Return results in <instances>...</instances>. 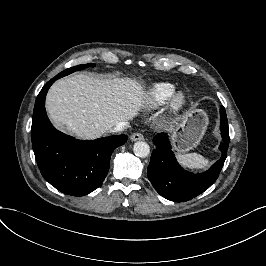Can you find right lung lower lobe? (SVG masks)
Returning a JSON list of instances; mask_svg holds the SVG:
<instances>
[{
    "label": "right lung lower lobe",
    "instance_id": "right-lung-lower-lobe-1",
    "mask_svg": "<svg viewBox=\"0 0 266 266\" xmlns=\"http://www.w3.org/2000/svg\"><path fill=\"white\" fill-rule=\"evenodd\" d=\"M47 82L38 94L33 111L31 137L35 158L44 179L60 192L84 196L105 179L115 148L125 144L126 135L81 141L53 127L45 110L48 89L59 79Z\"/></svg>",
    "mask_w": 266,
    "mask_h": 266
}]
</instances>
